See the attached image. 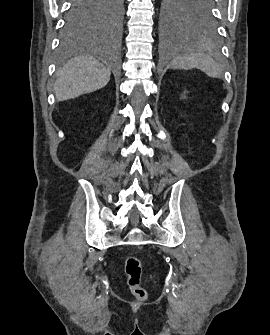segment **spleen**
<instances>
[{
	"instance_id": "obj_1",
	"label": "spleen",
	"mask_w": 270,
	"mask_h": 335,
	"mask_svg": "<svg viewBox=\"0 0 270 335\" xmlns=\"http://www.w3.org/2000/svg\"><path fill=\"white\" fill-rule=\"evenodd\" d=\"M169 68H182V70L198 68L210 78H221L223 74L221 64L215 62L208 54H204L198 44L190 42H181L175 46L174 60L170 62Z\"/></svg>"
}]
</instances>
